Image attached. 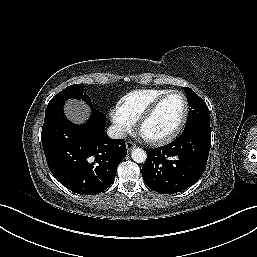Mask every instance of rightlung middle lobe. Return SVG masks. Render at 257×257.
I'll return each mask as SVG.
<instances>
[{"label": "right lung middle lobe", "instance_id": "obj_1", "mask_svg": "<svg viewBox=\"0 0 257 257\" xmlns=\"http://www.w3.org/2000/svg\"><path fill=\"white\" fill-rule=\"evenodd\" d=\"M83 87H84L83 84H74V85L68 86L60 93L55 95L49 103H53L57 101L64 102L66 99H69V98H77V99H82L88 104H90L89 97L86 95V93H84Z\"/></svg>", "mask_w": 257, "mask_h": 257}]
</instances>
